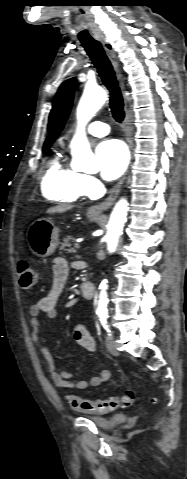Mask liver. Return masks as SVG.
Listing matches in <instances>:
<instances>
[{"instance_id":"6515ba94","label":"liver","mask_w":187,"mask_h":479,"mask_svg":"<svg viewBox=\"0 0 187 479\" xmlns=\"http://www.w3.org/2000/svg\"><path fill=\"white\" fill-rule=\"evenodd\" d=\"M72 208V205H68V204H60V205H57V206H54V207H51L47 210V213L48 214H54V213H63L69 209Z\"/></svg>"}]
</instances>
